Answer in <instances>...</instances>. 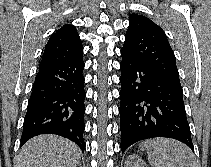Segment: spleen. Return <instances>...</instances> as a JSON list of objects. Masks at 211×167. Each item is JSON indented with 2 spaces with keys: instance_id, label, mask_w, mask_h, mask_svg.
Returning a JSON list of instances; mask_svg holds the SVG:
<instances>
[{
  "instance_id": "obj_1",
  "label": "spleen",
  "mask_w": 211,
  "mask_h": 167,
  "mask_svg": "<svg viewBox=\"0 0 211 167\" xmlns=\"http://www.w3.org/2000/svg\"><path fill=\"white\" fill-rule=\"evenodd\" d=\"M147 154L151 167H198L191 149L174 139L150 141Z\"/></svg>"
}]
</instances>
